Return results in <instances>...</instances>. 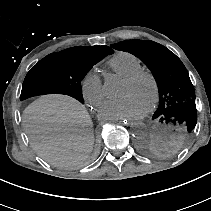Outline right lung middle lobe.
<instances>
[{
  "instance_id": "right-lung-middle-lobe-1",
  "label": "right lung middle lobe",
  "mask_w": 211,
  "mask_h": 211,
  "mask_svg": "<svg viewBox=\"0 0 211 211\" xmlns=\"http://www.w3.org/2000/svg\"><path fill=\"white\" fill-rule=\"evenodd\" d=\"M102 54H79L69 50L47 55L26 75L20 100L44 94H66L83 101L81 80L102 60Z\"/></svg>"
}]
</instances>
